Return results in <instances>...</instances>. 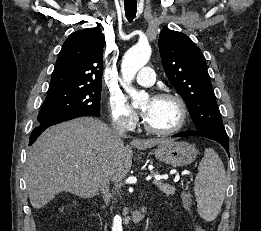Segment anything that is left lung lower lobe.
Wrapping results in <instances>:
<instances>
[{"instance_id": "obj_1", "label": "left lung lower lobe", "mask_w": 261, "mask_h": 231, "mask_svg": "<svg viewBox=\"0 0 261 231\" xmlns=\"http://www.w3.org/2000/svg\"><path fill=\"white\" fill-rule=\"evenodd\" d=\"M187 136H202V137H206V136H204V134H202L199 131H191V130L183 131V132H180V133L174 135V137H187ZM210 139H213V140L219 142L221 145H223L225 150H226V152L229 155V142H228V140H223V139H219V138H210Z\"/></svg>"}]
</instances>
